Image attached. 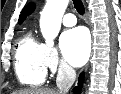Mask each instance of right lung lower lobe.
Masks as SVG:
<instances>
[{
  "instance_id": "obj_1",
  "label": "right lung lower lobe",
  "mask_w": 121,
  "mask_h": 94,
  "mask_svg": "<svg viewBox=\"0 0 121 94\" xmlns=\"http://www.w3.org/2000/svg\"><path fill=\"white\" fill-rule=\"evenodd\" d=\"M83 77H84L83 74L79 76L78 86L73 89L74 93H77V94L80 93L82 89Z\"/></svg>"
}]
</instances>
